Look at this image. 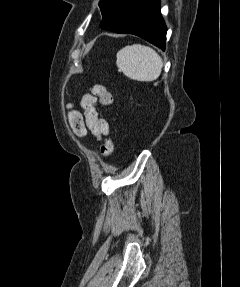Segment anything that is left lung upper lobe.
Returning a JSON list of instances; mask_svg holds the SVG:
<instances>
[{
    "label": "left lung upper lobe",
    "instance_id": "5c2ea615",
    "mask_svg": "<svg viewBox=\"0 0 240 287\" xmlns=\"http://www.w3.org/2000/svg\"><path fill=\"white\" fill-rule=\"evenodd\" d=\"M107 1H108V0H100V2H99V7H100V9H101V12L103 11V9H104V7H105Z\"/></svg>",
    "mask_w": 240,
    "mask_h": 287
}]
</instances>
